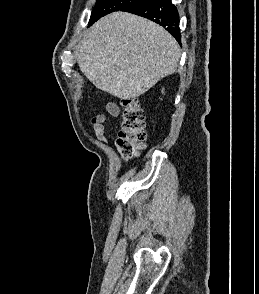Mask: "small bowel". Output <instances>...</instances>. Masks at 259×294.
<instances>
[{"label": "small bowel", "instance_id": "obj_1", "mask_svg": "<svg viewBox=\"0 0 259 294\" xmlns=\"http://www.w3.org/2000/svg\"><path fill=\"white\" fill-rule=\"evenodd\" d=\"M120 113L119 106L115 103H108L106 106V113L99 114L91 120L94 133L98 140L105 142V125L109 117H117Z\"/></svg>", "mask_w": 259, "mask_h": 294}]
</instances>
